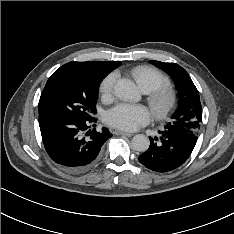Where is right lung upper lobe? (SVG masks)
I'll return each mask as SVG.
<instances>
[{"mask_svg":"<svg viewBox=\"0 0 234 234\" xmlns=\"http://www.w3.org/2000/svg\"><path fill=\"white\" fill-rule=\"evenodd\" d=\"M65 66L73 67L81 71L105 77L112 70L120 66V62L88 61V62H69Z\"/></svg>","mask_w":234,"mask_h":234,"instance_id":"obj_1","label":"right lung upper lobe"}]
</instances>
